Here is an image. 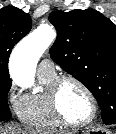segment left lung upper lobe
<instances>
[{"label": "left lung upper lobe", "instance_id": "1", "mask_svg": "<svg viewBox=\"0 0 116 134\" xmlns=\"http://www.w3.org/2000/svg\"><path fill=\"white\" fill-rule=\"evenodd\" d=\"M50 56L96 98L105 124H116V26L96 10H56Z\"/></svg>", "mask_w": 116, "mask_h": 134}]
</instances>
